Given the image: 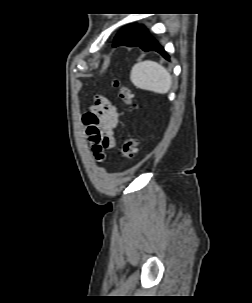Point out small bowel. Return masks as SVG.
I'll use <instances>...</instances> for the list:
<instances>
[{"label":"small bowel","instance_id":"c3829d8e","mask_svg":"<svg viewBox=\"0 0 252 303\" xmlns=\"http://www.w3.org/2000/svg\"><path fill=\"white\" fill-rule=\"evenodd\" d=\"M119 120L115 106L101 95H96L90 112L84 117V124L90 148L98 162L105 159V150L114 146Z\"/></svg>","mask_w":252,"mask_h":303}]
</instances>
